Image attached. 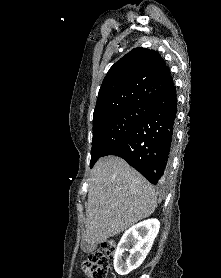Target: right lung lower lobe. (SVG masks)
Instances as JSON below:
<instances>
[{"label": "right lung lower lobe", "instance_id": "obj_1", "mask_svg": "<svg viewBox=\"0 0 221 278\" xmlns=\"http://www.w3.org/2000/svg\"><path fill=\"white\" fill-rule=\"evenodd\" d=\"M149 112L127 135L103 154L126 160L152 184L163 181L169 166L177 113L174 84L146 100ZM101 156V157H102Z\"/></svg>", "mask_w": 221, "mask_h": 278}]
</instances>
